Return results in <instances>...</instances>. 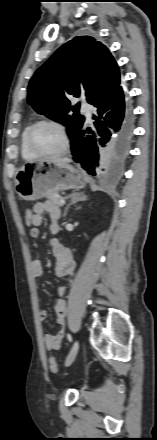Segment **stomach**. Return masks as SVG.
I'll use <instances>...</instances> for the list:
<instances>
[{
  "instance_id": "0dacf381",
  "label": "stomach",
  "mask_w": 157,
  "mask_h": 440,
  "mask_svg": "<svg viewBox=\"0 0 157 440\" xmlns=\"http://www.w3.org/2000/svg\"><path fill=\"white\" fill-rule=\"evenodd\" d=\"M86 174L69 163L38 160L26 163L15 175V190L26 201H35L62 190L81 189Z\"/></svg>"
}]
</instances>
